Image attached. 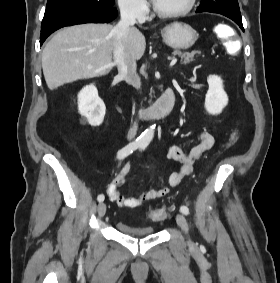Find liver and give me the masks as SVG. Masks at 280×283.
<instances>
[{
    "mask_svg": "<svg viewBox=\"0 0 280 283\" xmlns=\"http://www.w3.org/2000/svg\"><path fill=\"white\" fill-rule=\"evenodd\" d=\"M113 30L109 24H83L57 32L42 55L43 74L49 89L108 74L115 65ZM127 48L135 60L144 55L146 40L137 28L131 27Z\"/></svg>",
    "mask_w": 280,
    "mask_h": 283,
    "instance_id": "liver-1",
    "label": "liver"
}]
</instances>
